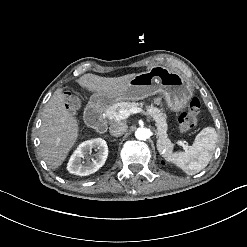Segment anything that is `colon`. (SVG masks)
Segmentation results:
<instances>
[{"label":"colon","instance_id":"obj_1","mask_svg":"<svg viewBox=\"0 0 247 247\" xmlns=\"http://www.w3.org/2000/svg\"><path fill=\"white\" fill-rule=\"evenodd\" d=\"M200 108L201 104L199 99L196 97H192L188 105V112L180 114L178 118L180 126L184 128L192 127L197 121Z\"/></svg>","mask_w":247,"mask_h":247}]
</instances>
